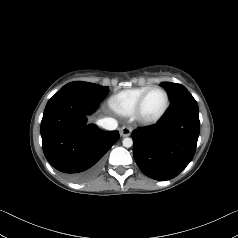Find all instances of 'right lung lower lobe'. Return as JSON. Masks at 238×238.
<instances>
[{
    "label": "right lung lower lobe",
    "instance_id": "obj_1",
    "mask_svg": "<svg viewBox=\"0 0 238 238\" xmlns=\"http://www.w3.org/2000/svg\"><path fill=\"white\" fill-rule=\"evenodd\" d=\"M101 100L74 90H62L48 101L41 121L44 155L71 181L83 182L97 175L103 155L119 139L117 131L106 132L87 124Z\"/></svg>",
    "mask_w": 238,
    "mask_h": 238
}]
</instances>
